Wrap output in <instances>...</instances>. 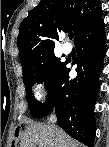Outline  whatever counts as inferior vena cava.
<instances>
[{
  "instance_id": "obj_1",
  "label": "inferior vena cava",
  "mask_w": 109,
  "mask_h": 147,
  "mask_svg": "<svg viewBox=\"0 0 109 147\" xmlns=\"http://www.w3.org/2000/svg\"><path fill=\"white\" fill-rule=\"evenodd\" d=\"M56 120H57L56 115L55 114H52L50 116L49 120H48V124L50 126H54V124L56 123Z\"/></svg>"
}]
</instances>
